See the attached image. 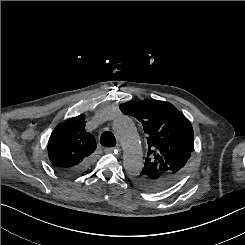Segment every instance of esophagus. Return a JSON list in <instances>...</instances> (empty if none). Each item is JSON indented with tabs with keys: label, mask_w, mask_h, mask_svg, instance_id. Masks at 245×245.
Instances as JSON below:
<instances>
[{
	"label": "esophagus",
	"mask_w": 245,
	"mask_h": 245,
	"mask_svg": "<svg viewBox=\"0 0 245 245\" xmlns=\"http://www.w3.org/2000/svg\"><path fill=\"white\" fill-rule=\"evenodd\" d=\"M114 151H115V149L112 148V147H107V148L104 149L105 153H113Z\"/></svg>",
	"instance_id": "1"
}]
</instances>
